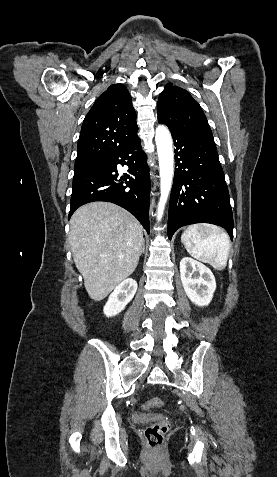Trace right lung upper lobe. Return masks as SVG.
Here are the masks:
<instances>
[{
  "label": "right lung upper lobe",
  "instance_id": "cb5924a9",
  "mask_svg": "<svg viewBox=\"0 0 277 477\" xmlns=\"http://www.w3.org/2000/svg\"><path fill=\"white\" fill-rule=\"evenodd\" d=\"M132 99L123 84H112L86 115L77 144L74 169L86 168L136 139Z\"/></svg>",
  "mask_w": 277,
  "mask_h": 477
}]
</instances>
